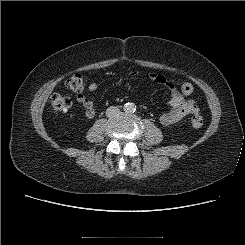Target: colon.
I'll return each mask as SVG.
<instances>
[{
	"instance_id": "1",
	"label": "colon",
	"mask_w": 245,
	"mask_h": 245,
	"mask_svg": "<svg viewBox=\"0 0 245 245\" xmlns=\"http://www.w3.org/2000/svg\"><path fill=\"white\" fill-rule=\"evenodd\" d=\"M66 87L73 92H82L84 89L83 78L79 74L72 75L66 81ZM181 91L184 95H191L194 91V87L189 82H184L181 85ZM72 105V100L60 94L52 95L50 99V106L53 113L60 114L67 112ZM203 125V118L199 114H194L191 117V126L194 129H199Z\"/></svg>"
}]
</instances>
